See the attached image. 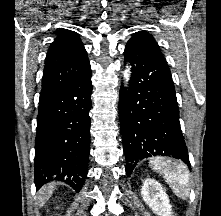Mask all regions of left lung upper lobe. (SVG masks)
Instances as JSON below:
<instances>
[{"label":"left lung upper lobe","instance_id":"1","mask_svg":"<svg viewBox=\"0 0 221 216\" xmlns=\"http://www.w3.org/2000/svg\"><path fill=\"white\" fill-rule=\"evenodd\" d=\"M129 43H135L142 47L148 48L153 52L163 55L158 47V44L154 40L153 36L146 31L136 32L128 41Z\"/></svg>","mask_w":221,"mask_h":216}]
</instances>
